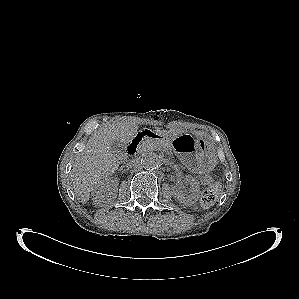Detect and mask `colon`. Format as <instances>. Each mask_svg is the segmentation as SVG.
<instances>
[{
    "mask_svg": "<svg viewBox=\"0 0 299 299\" xmlns=\"http://www.w3.org/2000/svg\"><path fill=\"white\" fill-rule=\"evenodd\" d=\"M201 182L206 186L201 195V203L204 206H211L217 198L218 186L213 183V178L210 174L203 175Z\"/></svg>",
    "mask_w": 299,
    "mask_h": 299,
    "instance_id": "1",
    "label": "colon"
}]
</instances>
